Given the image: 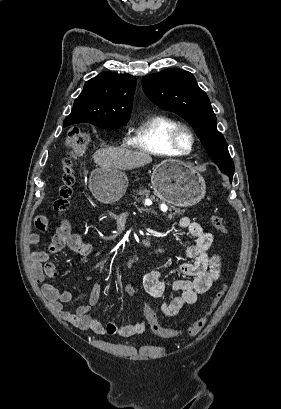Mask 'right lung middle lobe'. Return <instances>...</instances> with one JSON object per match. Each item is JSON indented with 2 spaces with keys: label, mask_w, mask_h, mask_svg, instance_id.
<instances>
[{
  "label": "right lung middle lobe",
  "mask_w": 281,
  "mask_h": 409,
  "mask_svg": "<svg viewBox=\"0 0 281 409\" xmlns=\"http://www.w3.org/2000/svg\"><path fill=\"white\" fill-rule=\"evenodd\" d=\"M126 123H111V124H95L98 127L105 128V129H114V128H119Z\"/></svg>",
  "instance_id": "1"
}]
</instances>
